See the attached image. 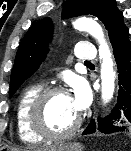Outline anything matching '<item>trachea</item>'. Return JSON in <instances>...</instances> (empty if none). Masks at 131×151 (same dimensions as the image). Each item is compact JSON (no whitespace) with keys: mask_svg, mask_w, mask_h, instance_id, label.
Wrapping results in <instances>:
<instances>
[{"mask_svg":"<svg viewBox=\"0 0 131 151\" xmlns=\"http://www.w3.org/2000/svg\"><path fill=\"white\" fill-rule=\"evenodd\" d=\"M85 64H90V62H88V61H85Z\"/></svg>","mask_w":131,"mask_h":151,"instance_id":"obj_1","label":"trachea"}]
</instances>
